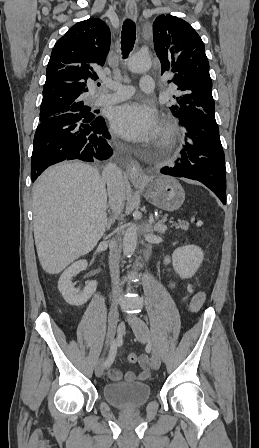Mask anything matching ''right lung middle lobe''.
I'll return each instance as SVG.
<instances>
[{
	"mask_svg": "<svg viewBox=\"0 0 259 448\" xmlns=\"http://www.w3.org/2000/svg\"><path fill=\"white\" fill-rule=\"evenodd\" d=\"M90 111L91 108L87 105H74L60 111L40 114V121L42 122L63 114H73L74 117H80L81 119H84L85 122H90L97 117Z\"/></svg>",
	"mask_w": 259,
	"mask_h": 448,
	"instance_id": "dd1d6c3e",
	"label": "right lung middle lobe"
}]
</instances>
